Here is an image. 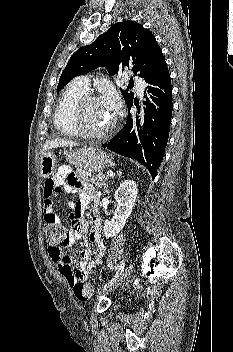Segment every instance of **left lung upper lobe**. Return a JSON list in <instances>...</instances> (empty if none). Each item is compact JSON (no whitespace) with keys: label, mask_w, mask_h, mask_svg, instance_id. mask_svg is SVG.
<instances>
[{"label":"left lung upper lobe","mask_w":233,"mask_h":352,"mask_svg":"<svg viewBox=\"0 0 233 352\" xmlns=\"http://www.w3.org/2000/svg\"><path fill=\"white\" fill-rule=\"evenodd\" d=\"M165 62L161 48L152 32L141 24L123 21L114 24L96 41L78 49L62 72L57 86L59 92L74 77L98 67H105L113 75L125 67L144 80L154 75ZM127 103L134 99L133 92L121 90Z\"/></svg>","instance_id":"1"}]
</instances>
